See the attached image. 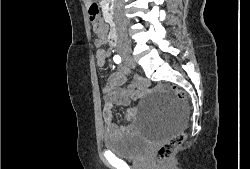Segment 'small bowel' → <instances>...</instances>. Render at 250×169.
Listing matches in <instances>:
<instances>
[{"instance_id": "1", "label": "small bowel", "mask_w": 250, "mask_h": 169, "mask_svg": "<svg viewBox=\"0 0 250 169\" xmlns=\"http://www.w3.org/2000/svg\"><path fill=\"white\" fill-rule=\"evenodd\" d=\"M105 29L103 27L102 31L97 33V38L95 44L98 47L96 52L97 64L102 66L105 64V61L108 57V53L101 48L105 43ZM130 74L125 69H120L114 74H112L106 83L104 89V99H105V108L103 111V116L105 119L106 133L108 135L114 133H133L136 131V108L129 107L132 101H137L142 98L144 90L149 87V80L140 77L134 76L130 83L123 87V85L128 81ZM115 105H121L128 107L125 112V118L129 122L128 125L117 126L114 123V113L112 111Z\"/></svg>"}]
</instances>
